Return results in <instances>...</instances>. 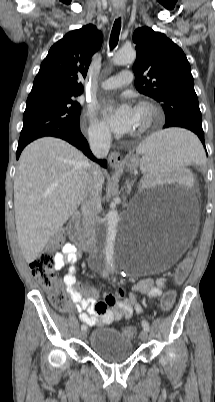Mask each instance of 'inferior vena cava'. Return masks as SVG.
I'll return each mask as SVG.
<instances>
[{
    "mask_svg": "<svg viewBox=\"0 0 215 402\" xmlns=\"http://www.w3.org/2000/svg\"><path fill=\"white\" fill-rule=\"evenodd\" d=\"M89 144L91 151L97 158H105L108 155L111 144L110 132L108 130H99L90 136ZM100 173V167L92 163L88 172L86 192L81 205L84 234L92 243H95V237L99 230L98 213L101 208L102 191Z\"/></svg>",
    "mask_w": 215,
    "mask_h": 402,
    "instance_id": "602c4592",
    "label": "inferior vena cava"
}]
</instances>
